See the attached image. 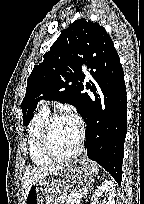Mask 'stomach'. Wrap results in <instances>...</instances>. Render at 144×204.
Returning <instances> with one entry per match:
<instances>
[{
    "label": "stomach",
    "mask_w": 144,
    "mask_h": 204,
    "mask_svg": "<svg viewBox=\"0 0 144 204\" xmlns=\"http://www.w3.org/2000/svg\"><path fill=\"white\" fill-rule=\"evenodd\" d=\"M97 174V164L89 159L67 163L53 175L32 183L24 204H62V198L71 193L83 194Z\"/></svg>",
    "instance_id": "0dacf381"
}]
</instances>
